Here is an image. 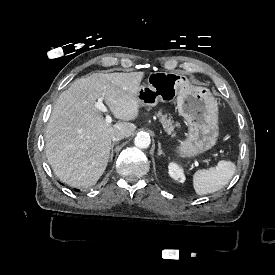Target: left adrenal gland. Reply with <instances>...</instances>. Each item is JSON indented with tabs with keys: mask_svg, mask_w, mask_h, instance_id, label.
<instances>
[{
	"mask_svg": "<svg viewBox=\"0 0 275 275\" xmlns=\"http://www.w3.org/2000/svg\"><path fill=\"white\" fill-rule=\"evenodd\" d=\"M165 156V154L163 153V151L161 150V144H160V142H158V156L160 157V156Z\"/></svg>",
	"mask_w": 275,
	"mask_h": 275,
	"instance_id": "1",
	"label": "left adrenal gland"
}]
</instances>
